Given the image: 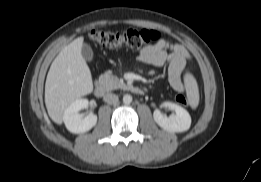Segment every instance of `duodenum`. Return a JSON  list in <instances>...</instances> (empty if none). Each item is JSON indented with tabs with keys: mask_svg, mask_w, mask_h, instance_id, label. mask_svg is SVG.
Instances as JSON below:
<instances>
[{
	"mask_svg": "<svg viewBox=\"0 0 261 182\" xmlns=\"http://www.w3.org/2000/svg\"><path fill=\"white\" fill-rule=\"evenodd\" d=\"M128 88L130 91H132L133 93L138 94V95H142L144 93V90L141 87L133 85V84L129 85ZM94 93L97 97H103L106 93V88H105L104 84L98 83L95 86Z\"/></svg>",
	"mask_w": 261,
	"mask_h": 182,
	"instance_id": "duodenum-1",
	"label": "duodenum"
}]
</instances>
